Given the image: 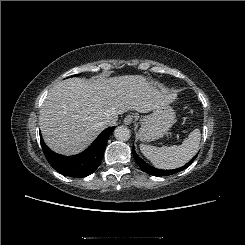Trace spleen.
Segmentation results:
<instances>
[{
  "label": "spleen",
  "instance_id": "spleen-1",
  "mask_svg": "<svg viewBox=\"0 0 245 245\" xmlns=\"http://www.w3.org/2000/svg\"><path fill=\"white\" fill-rule=\"evenodd\" d=\"M201 133L199 129L193 130L181 145L170 147L140 145L142 154L157 168L174 169L186 164L199 150Z\"/></svg>",
  "mask_w": 245,
  "mask_h": 245
}]
</instances>
